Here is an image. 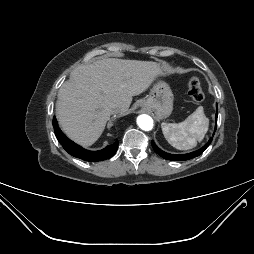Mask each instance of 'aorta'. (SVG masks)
Here are the masks:
<instances>
[{
  "label": "aorta",
  "instance_id": "762f6f07",
  "mask_svg": "<svg viewBox=\"0 0 254 254\" xmlns=\"http://www.w3.org/2000/svg\"><path fill=\"white\" fill-rule=\"evenodd\" d=\"M137 124L142 130L149 131L153 128V119L149 115L143 114L138 116Z\"/></svg>",
  "mask_w": 254,
  "mask_h": 254
}]
</instances>
